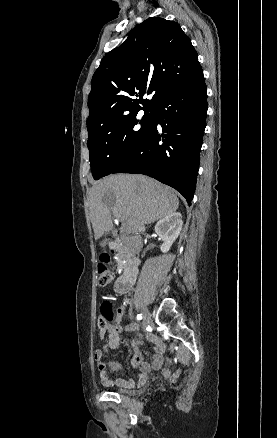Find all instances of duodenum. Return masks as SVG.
I'll list each match as a JSON object with an SVG mask.
<instances>
[{"mask_svg": "<svg viewBox=\"0 0 277 438\" xmlns=\"http://www.w3.org/2000/svg\"><path fill=\"white\" fill-rule=\"evenodd\" d=\"M112 250H120L125 254L124 271L116 283V290L120 294H125L132 288L138 274L139 258L133 253L131 247L117 240H112L107 244Z\"/></svg>", "mask_w": 277, "mask_h": 438, "instance_id": "duodenum-1", "label": "duodenum"}]
</instances>
